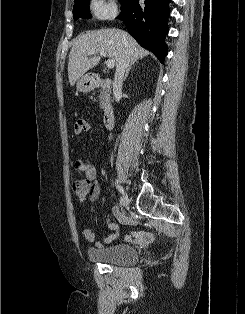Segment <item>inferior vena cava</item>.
<instances>
[{
  "label": "inferior vena cava",
  "mask_w": 245,
  "mask_h": 314,
  "mask_svg": "<svg viewBox=\"0 0 245 314\" xmlns=\"http://www.w3.org/2000/svg\"><path fill=\"white\" fill-rule=\"evenodd\" d=\"M128 66H129V57L127 56V53L125 52L120 62L116 65L114 84H113V93H114L116 101L119 100V96L121 95L123 77Z\"/></svg>",
  "instance_id": "inferior-vena-cava-1"
}]
</instances>
